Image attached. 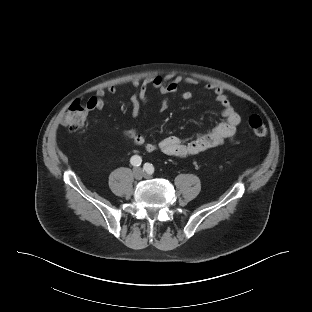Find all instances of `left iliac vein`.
<instances>
[{
    "label": "left iliac vein",
    "mask_w": 312,
    "mask_h": 312,
    "mask_svg": "<svg viewBox=\"0 0 312 312\" xmlns=\"http://www.w3.org/2000/svg\"><path fill=\"white\" fill-rule=\"evenodd\" d=\"M146 177H150V175H146Z\"/></svg>",
    "instance_id": "left-iliac-vein-1"
}]
</instances>
